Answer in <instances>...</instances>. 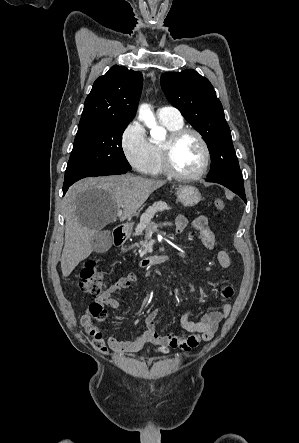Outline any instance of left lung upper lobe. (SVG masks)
Returning a JSON list of instances; mask_svg holds the SVG:
<instances>
[{"label":"left lung upper lobe","instance_id":"5c2ea615","mask_svg":"<svg viewBox=\"0 0 299 443\" xmlns=\"http://www.w3.org/2000/svg\"><path fill=\"white\" fill-rule=\"evenodd\" d=\"M161 87L169 102L207 142L211 155L208 178L243 182L231 132L209 80L195 70L187 69L162 74Z\"/></svg>","mask_w":299,"mask_h":443}]
</instances>
